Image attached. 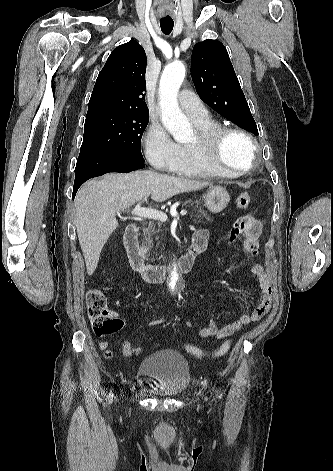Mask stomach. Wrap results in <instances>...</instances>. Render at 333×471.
<instances>
[{"label":"stomach","mask_w":333,"mask_h":471,"mask_svg":"<svg viewBox=\"0 0 333 471\" xmlns=\"http://www.w3.org/2000/svg\"><path fill=\"white\" fill-rule=\"evenodd\" d=\"M230 201L227 190L221 186H215L205 196V207L212 213L223 211Z\"/></svg>","instance_id":"0dacf381"}]
</instances>
